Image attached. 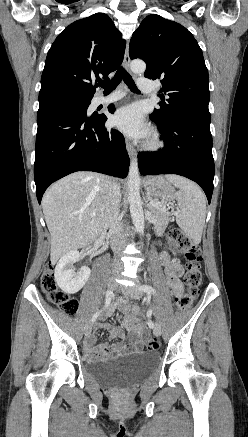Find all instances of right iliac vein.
Wrapping results in <instances>:
<instances>
[{"mask_svg":"<svg viewBox=\"0 0 248 437\" xmlns=\"http://www.w3.org/2000/svg\"><path fill=\"white\" fill-rule=\"evenodd\" d=\"M115 287H116L115 279L113 277H111L108 280L107 288L109 290H113V289H115ZM91 329H92V324L89 322L88 324H86V326L84 328V333H85L86 336H88L91 333Z\"/></svg>","mask_w":248,"mask_h":437,"instance_id":"63e3f726","label":"right iliac vein"}]
</instances>
